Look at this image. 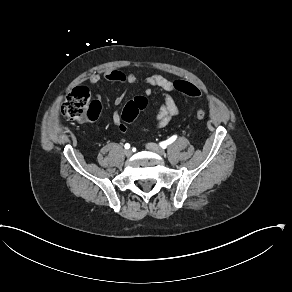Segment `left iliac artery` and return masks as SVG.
I'll return each instance as SVG.
<instances>
[{
	"label": "left iliac artery",
	"instance_id": "left-iliac-artery-1",
	"mask_svg": "<svg viewBox=\"0 0 292 292\" xmlns=\"http://www.w3.org/2000/svg\"><path fill=\"white\" fill-rule=\"evenodd\" d=\"M177 138V135H173L172 137H170L169 139H167L166 141H163L160 143V146L162 148H166L167 145H170L171 143H173Z\"/></svg>",
	"mask_w": 292,
	"mask_h": 292
}]
</instances>
